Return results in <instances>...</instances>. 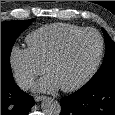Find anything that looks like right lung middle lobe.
<instances>
[{"mask_svg": "<svg viewBox=\"0 0 115 115\" xmlns=\"http://www.w3.org/2000/svg\"><path fill=\"white\" fill-rule=\"evenodd\" d=\"M34 19L1 23V78L12 77L10 54L17 37Z\"/></svg>", "mask_w": 115, "mask_h": 115, "instance_id": "dd1d6c3e", "label": "right lung middle lobe"}]
</instances>
